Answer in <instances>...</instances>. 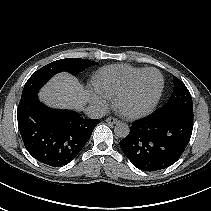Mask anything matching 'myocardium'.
<instances>
[{
	"instance_id": "1",
	"label": "myocardium",
	"mask_w": 211,
	"mask_h": 211,
	"mask_svg": "<svg viewBox=\"0 0 211 211\" xmlns=\"http://www.w3.org/2000/svg\"><path fill=\"white\" fill-rule=\"evenodd\" d=\"M149 72H156L161 77L160 89H159L156 97L152 101V103L145 109L138 110V111H128V110L123 109L122 101L134 91V89L136 88V86L138 85L140 80ZM164 87H165V79H164L163 74L158 69H156V68L145 69L140 74H138L124 89H122L115 96V106L121 112V114H123L127 118L133 119V118L144 117V116L148 115L149 113H151L155 109V107L158 105V103L162 97Z\"/></svg>"
}]
</instances>
